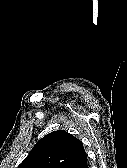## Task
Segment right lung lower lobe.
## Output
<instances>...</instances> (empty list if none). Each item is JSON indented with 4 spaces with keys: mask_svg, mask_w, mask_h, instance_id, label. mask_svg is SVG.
<instances>
[{
    "mask_svg": "<svg viewBox=\"0 0 127 168\" xmlns=\"http://www.w3.org/2000/svg\"><path fill=\"white\" fill-rule=\"evenodd\" d=\"M78 168H88L87 161L78 166Z\"/></svg>",
    "mask_w": 127,
    "mask_h": 168,
    "instance_id": "obj_1",
    "label": "right lung lower lobe"
}]
</instances>
